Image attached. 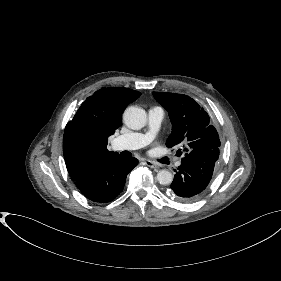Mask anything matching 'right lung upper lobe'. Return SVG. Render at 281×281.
I'll use <instances>...</instances> for the list:
<instances>
[{
	"label": "right lung upper lobe",
	"mask_w": 281,
	"mask_h": 281,
	"mask_svg": "<svg viewBox=\"0 0 281 281\" xmlns=\"http://www.w3.org/2000/svg\"><path fill=\"white\" fill-rule=\"evenodd\" d=\"M140 95L124 87L102 88L81 104L63 137L65 163L74 181L104 157L116 154L107 149L108 137L121 125L123 110Z\"/></svg>",
	"instance_id": "1"
}]
</instances>
